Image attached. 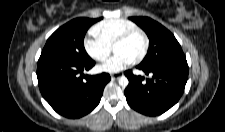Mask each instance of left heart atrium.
Instances as JSON below:
<instances>
[{
    "instance_id": "1",
    "label": "left heart atrium",
    "mask_w": 225,
    "mask_h": 132,
    "mask_svg": "<svg viewBox=\"0 0 225 132\" xmlns=\"http://www.w3.org/2000/svg\"><path fill=\"white\" fill-rule=\"evenodd\" d=\"M132 63V59L124 53H115V55L100 66V70L108 73H117L125 69Z\"/></svg>"
}]
</instances>
